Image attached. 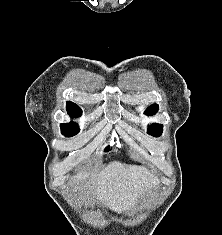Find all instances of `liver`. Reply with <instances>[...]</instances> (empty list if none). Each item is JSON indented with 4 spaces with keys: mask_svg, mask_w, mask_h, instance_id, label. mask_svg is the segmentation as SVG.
Masks as SVG:
<instances>
[{
    "mask_svg": "<svg viewBox=\"0 0 222 235\" xmlns=\"http://www.w3.org/2000/svg\"><path fill=\"white\" fill-rule=\"evenodd\" d=\"M89 178L84 187L88 192H95L100 202L111 210L121 213L133 206L139 195L158 184V180L146 168L127 166L118 161L109 163L99 173L79 172L72 176L71 181L82 183Z\"/></svg>",
    "mask_w": 222,
    "mask_h": 235,
    "instance_id": "obj_1",
    "label": "liver"
}]
</instances>
